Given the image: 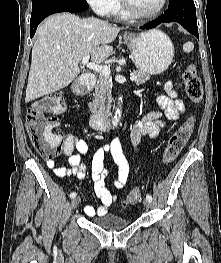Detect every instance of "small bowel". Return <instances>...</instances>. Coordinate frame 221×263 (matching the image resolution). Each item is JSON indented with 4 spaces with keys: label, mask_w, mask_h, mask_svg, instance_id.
Returning <instances> with one entry per match:
<instances>
[{
    "label": "small bowel",
    "mask_w": 221,
    "mask_h": 263,
    "mask_svg": "<svg viewBox=\"0 0 221 263\" xmlns=\"http://www.w3.org/2000/svg\"><path fill=\"white\" fill-rule=\"evenodd\" d=\"M165 94L156 96L158 104L165 110L166 116L169 119L179 118L185 110V105L182 100L177 97L176 92L172 89L170 83L164 86ZM158 113H151L137 121L131 131L132 143L137 146L142 136L148 135L155 139L158 137L161 128ZM64 155L68 158L69 167H57L53 160H47L46 166L53 169L57 177H74L84 179L86 176V166L82 162V155L89 152V145L86 141L79 139L77 131L70 132L66 135L64 147ZM110 153L113 161L118 167V173L113 180V185L117 189L125 187L129 176V161L122 149L118 140H114L110 145H104L99 148L92 157L91 178L95 195L101 201L98 208L86 206L84 212L92 217L97 215H105L110 210L115 209L117 198L110 193L106 186V177L108 171L104 168L105 155Z\"/></svg>",
    "instance_id": "small-bowel-1"
}]
</instances>
